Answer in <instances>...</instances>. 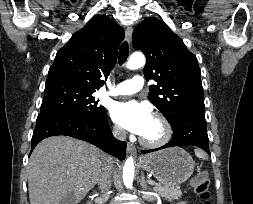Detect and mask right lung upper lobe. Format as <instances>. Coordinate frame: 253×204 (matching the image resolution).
<instances>
[{
	"label": "right lung upper lobe",
	"instance_id": "cb5924a9",
	"mask_svg": "<svg viewBox=\"0 0 253 204\" xmlns=\"http://www.w3.org/2000/svg\"><path fill=\"white\" fill-rule=\"evenodd\" d=\"M124 30L104 16L93 17L56 54L46 84L70 83L99 90L113 69Z\"/></svg>",
	"mask_w": 253,
	"mask_h": 204
}]
</instances>
